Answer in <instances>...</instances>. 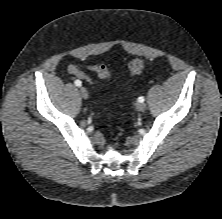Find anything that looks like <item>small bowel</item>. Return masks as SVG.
I'll list each match as a JSON object with an SVG mask.
<instances>
[{
  "instance_id": "small-bowel-1",
  "label": "small bowel",
  "mask_w": 222,
  "mask_h": 219,
  "mask_svg": "<svg viewBox=\"0 0 222 219\" xmlns=\"http://www.w3.org/2000/svg\"><path fill=\"white\" fill-rule=\"evenodd\" d=\"M93 66L94 65H90L88 68L92 71ZM69 72L77 78L90 81V78L82 71V69L78 65H71L69 67Z\"/></svg>"
}]
</instances>
